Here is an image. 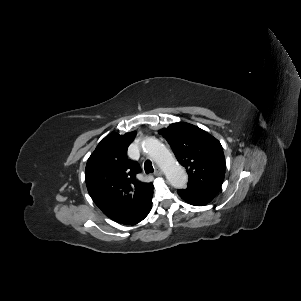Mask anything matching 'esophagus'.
<instances>
[{
	"label": "esophagus",
	"mask_w": 301,
	"mask_h": 301,
	"mask_svg": "<svg viewBox=\"0 0 301 301\" xmlns=\"http://www.w3.org/2000/svg\"><path fill=\"white\" fill-rule=\"evenodd\" d=\"M154 175L155 176H161L162 175V170L158 166L155 167Z\"/></svg>",
	"instance_id": "1"
}]
</instances>
